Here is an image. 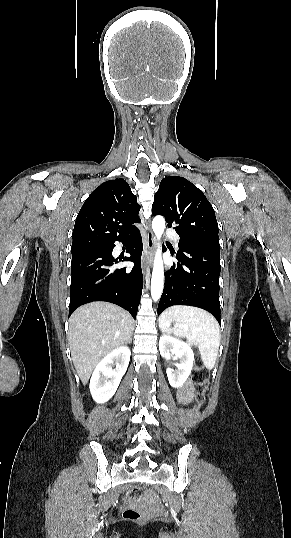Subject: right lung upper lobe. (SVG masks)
<instances>
[{"label":"right lung upper lobe","mask_w":291,"mask_h":538,"mask_svg":"<svg viewBox=\"0 0 291 538\" xmlns=\"http://www.w3.org/2000/svg\"><path fill=\"white\" fill-rule=\"evenodd\" d=\"M140 205L121 178L98 186L85 200L73 230L72 249L108 246L138 229Z\"/></svg>","instance_id":"cb5924a9"}]
</instances>
